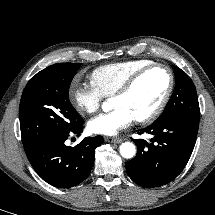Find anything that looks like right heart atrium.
Segmentation results:
<instances>
[{"label":"right heart atrium","instance_id":"obj_1","mask_svg":"<svg viewBox=\"0 0 215 215\" xmlns=\"http://www.w3.org/2000/svg\"><path fill=\"white\" fill-rule=\"evenodd\" d=\"M69 98L78 112L92 114L100 109L104 95L92 81L75 79L70 86Z\"/></svg>","mask_w":215,"mask_h":215}]
</instances>
